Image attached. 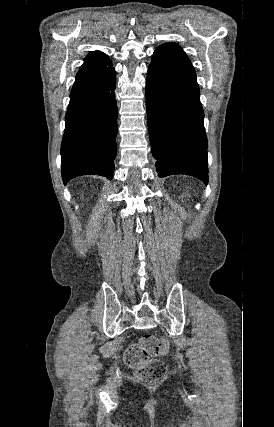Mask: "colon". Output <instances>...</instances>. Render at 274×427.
Wrapping results in <instances>:
<instances>
[{"mask_svg": "<svg viewBox=\"0 0 274 427\" xmlns=\"http://www.w3.org/2000/svg\"><path fill=\"white\" fill-rule=\"evenodd\" d=\"M168 351L169 348L164 339L144 334L137 342L126 348L124 361L135 371V378L139 382H156L168 375L167 365L156 357Z\"/></svg>", "mask_w": 274, "mask_h": 427, "instance_id": "obj_1", "label": "colon"}]
</instances>
